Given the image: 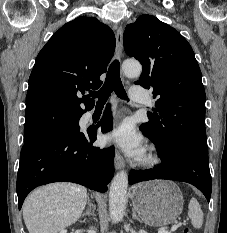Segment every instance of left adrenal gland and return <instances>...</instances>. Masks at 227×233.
I'll return each instance as SVG.
<instances>
[{"mask_svg": "<svg viewBox=\"0 0 227 233\" xmlns=\"http://www.w3.org/2000/svg\"><path fill=\"white\" fill-rule=\"evenodd\" d=\"M132 219L133 220H138L139 222H141V220L137 217L136 212H135L134 209H133V213H132Z\"/></svg>", "mask_w": 227, "mask_h": 233, "instance_id": "obj_1", "label": "left adrenal gland"}]
</instances>
